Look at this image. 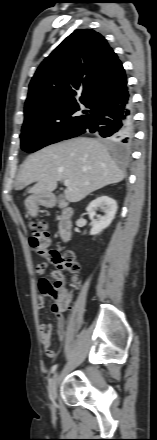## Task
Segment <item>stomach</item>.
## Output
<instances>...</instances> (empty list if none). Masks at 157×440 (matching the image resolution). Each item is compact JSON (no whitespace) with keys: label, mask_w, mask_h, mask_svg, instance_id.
<instances>
[{"label":"stomach","mask_w":157,"mask_h":440,"mask_svg":"<svg viewBox=\"0 0 157 440\" xmlns=\"http://www.w3.org/2000/svg\"><path fill=\"white\" fill-rule=\"evenodd\" d=\"M46 199L44 195L32 196L26 199L25 205L31 214L36 213L39 205H45Z\"/></svg>","instance_id":"1"}]
</instances>
